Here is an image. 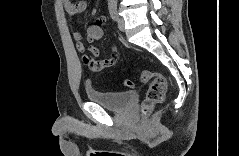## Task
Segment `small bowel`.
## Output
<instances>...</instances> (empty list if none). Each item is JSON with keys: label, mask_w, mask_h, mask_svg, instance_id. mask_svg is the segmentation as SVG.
Here are the masks:
<instances>
[{"label": "small bowel", "mask_w": 239, "mask_h": 156, "mask_svg": "<svg viewBox=\"0 0 239 156\" xmlns=\"http://www.w3.org/2000/svg\"><path fill=\"white\" fill-rule=\"evenodd\" d=\"M64 9L67 13L68 20L71 23L75 22V16L82 13L87 8V3L85 1L73 2L70 0L63 1ZM106 19L104 17H99L96 24L91 25L86 31V42L83 43V35L80 30H74L73 38L77 43V49L84 53L82 60L83 63L93 72H99L106 68L112 67L118 60L119 49L117 45H112L110 47L109 56L106 58H100L99 49L94 45V42L100 40L104 31L101 27L105 23Z\"/></svg>", "instance_id": "c3829d8e"}]
</instances>
